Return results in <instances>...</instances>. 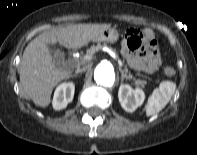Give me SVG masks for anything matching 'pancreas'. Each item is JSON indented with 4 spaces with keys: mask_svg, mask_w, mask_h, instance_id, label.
I'll list each match as a JSON object with an SVG mask.
<instances>
[{
    "mask_svg": "<svg viewBox=\"0 0 197 155\" xmlns=\"http://www.w3.org/2000/svg\"><path fill=\"white\" fill-rule=\"evenodd\" d=\"M105 45H101V44H97V45H93L91 46L88 50H87V55L85 56L84 60H87L89 58H91V56L99 51L102 47H104ZM127 71V69H126ZM128 79H133V82L136 86H142L144 87L146 85V81L145 80H140V79H135L133 77V75L131 73H128Z\"/></svg>",
    "mask_w": 197,
    "mask_h": 155,
    "instance_id": "cf45deb5",
    "label": "pancreas"
}]
</instances>
